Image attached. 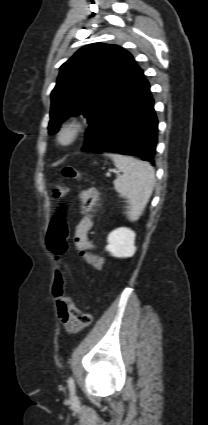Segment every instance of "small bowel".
<instances>
[{
  "instance_id": "c3829d8e",
  "label": "small bowel",
  "mask_w": 208,
  "mask_h": 425,
  "mask_svg": "<svg viewBox=\"0 0 208 425\" xmlns=\"http://www.w3.org/2000/svg\"><path fill=\"white\" fill-rule=\"evenodd\" d=\"M81 199L86 211H90L96 206L99 200V193L94 188H88L82 192ZM91 227H92L91 217L90 216L84 217L82 221L79 223V225L77 226V235L75 240L77 248H84L86 250L93 248V245L88 238V231L91 229ZM56 306H57L58 317L62 325L69 332L78 331L81 327L75 324V322L69 316L66 301L63 299H56Z\"/></svg>"
}]
</instances>
